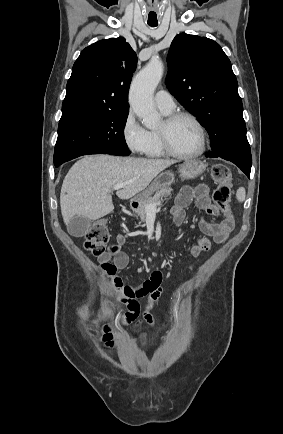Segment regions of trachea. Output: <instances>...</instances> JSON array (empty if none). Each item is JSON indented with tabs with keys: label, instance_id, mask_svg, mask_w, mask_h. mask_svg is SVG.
Returning <instances> with one entry per match:
<instances>
[{
	"label": "trachea",
	"instance_id": "3493384b",
	"mask_svg": "<svg viewBox=\"0 0 283 434\" xmlns=\"http://www.w3.org/2000/svg\"><path fill=\"white\" fill-rule=\"evenodd\" d=\"M148 25L151 26V27H155V26H157L158 24H157V23H148Z\"/></svg>",
	"mask_w": 283,
	"mask_h": 434
}]
</instances>
